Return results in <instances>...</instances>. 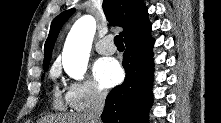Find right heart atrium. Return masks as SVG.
Returning <instances> with one entry per match:
<instances>
[{
    "label": "right heart atrium",
    "mask_w": 221,
    "mask_h": 123,
    "mask_svg": "<svg viewBox=\"0 0 221 123\" xmlns=\"http://www.w3.org/2000/svg\"><path fill=\"white\" fill-rule=\"evenodd\" d=\"M105 99L106 92L90 80L70 82L66 87V103L77 112L99 105Z\"/></svg>",
    "instance_id": "d8ad5b80"
}]
</instances>
